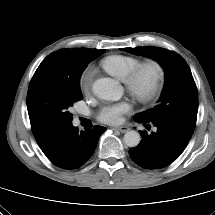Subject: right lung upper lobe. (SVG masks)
Here are the masks:
<instances>
[{
	"instance_id": "1",
	"label": "right lung upper lobe",
	"mask_w": 215,
	"mask_h": 215,
	"mask_svg": "<svg viewBox=\"0 0 215 215\" xmlns=\"http://www.w3.org/2000/svg\"><path fill=\"white\" fill-rule=\"evenodd\" d=\"M76 51H83V52H90L94 49H87V48H77L73 49ZM32 127V126H31ZM33 134L37 140V143L41 149H45L60 133H45L37 130L36 128L32 127Z\"/></svg>"
}]
</instances>
